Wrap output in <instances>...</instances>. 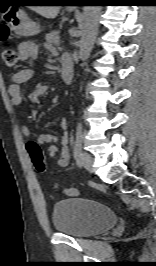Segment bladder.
Returning a JSON list of instances; mask_svg holds the SVG:
<instances>
[{
	"label": "bladder",
	"mask_w": 156,
	"mask_h": 266,
	"mask_svg": "<svg viewBox=\"0 0 156 266\" xmlns=\"http://www.w3.org/2000/svg\"><path fill=\"white\" fill-rule=\"evenodd\" d=\"M52 221L57 232L75 238H85L110 229L116 223L117 217L103 203L72 198L54 205Z\"/></svg>",
	"instance_id": "31cf9c89"
}]
</instances>
